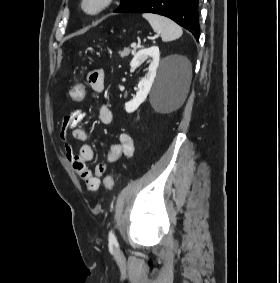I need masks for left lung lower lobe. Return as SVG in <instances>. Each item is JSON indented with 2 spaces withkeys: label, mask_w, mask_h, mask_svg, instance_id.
<instances>
[{
  "label": "left lung lower lobe",
  "mask_w": 280,
  "mask_h": 283,
  "mask_svg": "<svg viewBox=\"0 0 280 283\" xmlns=\"http://www.w3.org/2000/svg\"><path fill=\"white\" fill-rule=\"evenodd\" d=\"M199 0H137L123 12H145L166 16L189 30L199 40Z\"/></svg>",
  "instance_id": "left-lung-lower-lobe-1"
}]
</instances>
